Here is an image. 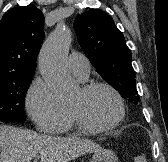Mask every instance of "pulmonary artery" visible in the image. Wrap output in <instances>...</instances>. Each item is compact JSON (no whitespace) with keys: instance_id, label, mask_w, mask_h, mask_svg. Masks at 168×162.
<instances>
[{"instance_id":"obj_1","label":"pulmonary artery","mask_w":168,"mask_h":162,"mask_svg":"<svg viewBox=\"0 0 168 162\" xmlns=\"http://www.w3.org/2000/svg\"><path fill=\"white\" fill-rule=\"evenodd\" d=\"M67 66L71 73L80 80H85L88 77L90 62L85 55L71 53L67 59Z\"/></svg>"}]
</instances>
